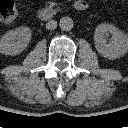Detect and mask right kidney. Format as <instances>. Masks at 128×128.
Wrapping results in <instances>:
<instances>
[{"instance_id":"1","label":"right kidney","mask_w":128,"mask_h":128,"mask_svg":"<svg viewBox=\"0 0 128 128\" xmlns=\"http://www.w3.org/2000/svg\"><path fill=\"white\" fill-rule=\"evenodd\" d=\"M32 31L29 27H18L8 31L0 40V53L18 55L25 50L31 40Z\"/></svg>"}]
</instances>
